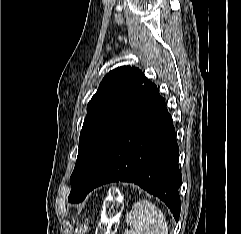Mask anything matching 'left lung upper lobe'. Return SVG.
<instances>
[{"mask_svg": "<svg viewBox=\"0 0 241 234\" xmlns=\"http://www.w3.org/2000/svg\"><path fill=\"white\" fill-rule=\"evenodd\" d=\"M152 83L142 71L123 66L110 71L87 106L80 147L70 177L69 202L86 197L88 185L126 118Z\"/></svg>", "mask_w": 241, "mask_h": 234, "instance_id": "obj_1", "label": "left lung upper lobe"}]
</instances>
